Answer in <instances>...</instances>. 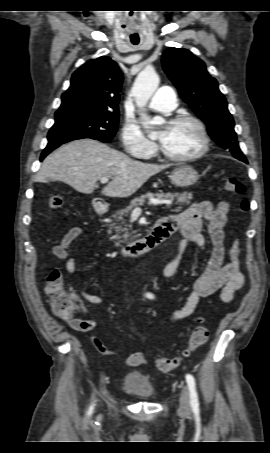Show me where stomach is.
I'll list each match as a JSON object with an SVG mask.
<instances>
[{"mask_svg":"<svg viewBox=\"0 0 270 453\" xmlns=\"http://www.w3.org/2000/svg\"><path fill=\"white\" fill-rule=\"evenodd\" d=\"M199 179V174L191 166L182 165L173 170L170 175L171 183L177 187H189Z\"/></svg>","mask_w":270,"mask_h":453,"instance_id":"0dacf381","label":"stomach"}]
</instances>
